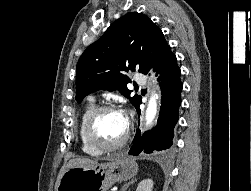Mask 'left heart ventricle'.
Returning <instances> with one entry per match:
<instances>
[{
    "mask_svg": "<svg viewBox=\"0 0 251 191\" xmlns=\"http://www.w3.org/2000/svg\"><path fill=\"white\" fill-rule=\"evenodd\" d=\"M125 120L118 112L107 111L100 117L96 126V135L104 144L118 142L125 131Z\"/></svg>",
    "mask_w": 251,
    "mask_h": 191,
    "instance_id": "1",
    "label": "left heart ventricle"
}]
</instances>
